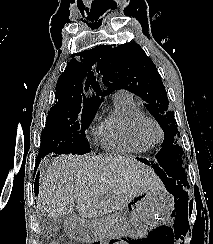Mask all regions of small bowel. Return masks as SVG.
Returning a JSON list of instances; mask_svg holds the SVG:
<instances>
[{
  "mask_svg": "<svg viewBox=\"0 0 213 244\" xmlns=\"http://www.w3.org/2000/svg\"><path fill=\"white\" fill-rule=\"evenodd\" d=\"M113 244H128L126 239H119V240H115L113 241Z\"/></svg>",
  "mask_w": 213,
  "mask_h": 244,
  "instance_id": "1",
  "label": "small bowel"
}]
</instances>
